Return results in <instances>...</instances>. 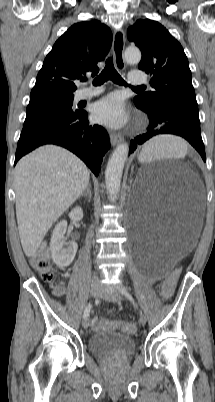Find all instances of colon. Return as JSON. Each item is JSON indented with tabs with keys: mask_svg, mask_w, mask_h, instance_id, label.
Here are the masks:
<instances>
[{
	"mask_svg": "<svg viewBox=\"0 0 215 402\" xmlns=\"http://www.w3.org/2000/svg\"><path fill=\"white\" fill-rule=\"evenodd\" d=\"M33 267L45 281L53 279V271L46 253L42 252L34 257ZM177 277L178 272H175L162 283V289L158 291L159 298H172ZM105 328H119L127 334H134L136 332V325L132 322H110L102 318H94L92 320L93 330L99 331Z\"/></svg>",
	"mask_w": 215,
	"mask_h": 402,
	"instance_id": "colon-1",
	"label": "colon"
}]
</instances>
